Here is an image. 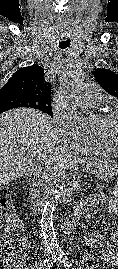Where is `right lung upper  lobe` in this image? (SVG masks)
Returning <instances> with one entry per match:
<instances>
[{
  "label": "right lung upper lobe",
  "mask_w": 118,
  "mask_h": 269,
  "mask_svg": "<svg viewBox=\"0 0 118 269\" xmlns=\"http://www.w3.org/2000/svg\"><path fill=\"white\" fill-rule=\"evenodd\" d=\"M10 93L21 94L43 104L51 102V84L45 80L43 68L36 64L16 71L0 89V97Z\"/></svg>",
  "instance_id": "cb5924a9"
}]
</instances>
